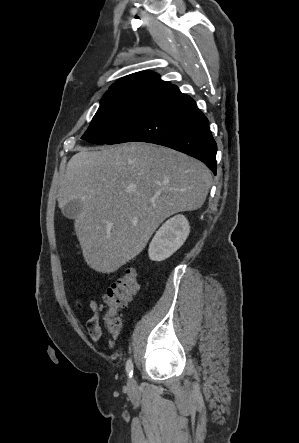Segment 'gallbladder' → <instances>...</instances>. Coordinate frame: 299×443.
Returning <instances> with one entry per match:
<instances>
[{
	"label": "gallbladder",
	"instance_id": "1",
	"mask_svg": "<svg viewBox=\"0 0 299 443\" xmlns=\"http://www.w3.org/2000/svg\"><path fill=\"white\" fill-rule=\"evenodd\" d=\"M83 205L82 200L73 199L62 207V214L69 219H75L82 212Z\"/></svg>",
	"mask_w": 299,
	"mask_h": 443
}]
</instances>
